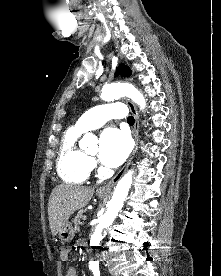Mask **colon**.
<instances>
[{
  "mask_svg": "<svg viewBox=\"0 0 221 276\" xmlns=\"http://www.w3.org/2000/svg\"><path fill=\"white\" fill-rule=\"evenodd\" d=\"M55 251H60V253H63L67 249V244H54Z\"/></svg>",
  "mask_w": 221,
  "mask_h": 276,
  "instance_id": "colon-1",
  "label": "colon"
}]
</instances>
